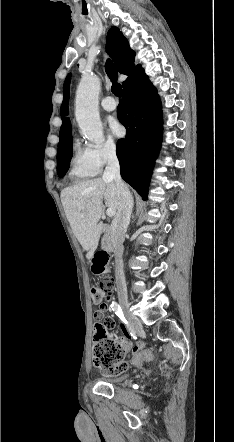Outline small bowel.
<instances>
[{
    "instance_id": "obj_1",
    "label": "small bowel",
    "mask_w": 234,
    "mask_h": 442,
    "mask_svg": "<svg viewBox=\"0 0 234 442\" xmlns=\"http://www.w3.org/2000/svg\"><path fill=\"white\" fill-rule=\"evenodd\" d=\"M109 310V306L106 304L104 306H100L99 310H97L94 314L96 322L93 324L94 331H114L117 327L122 328L125 325L124 320H117L116 315L114 314H104ZM127 336V334H126ZM123 348L124 353L131 352L135 349L143 348L144 343L142 341H138L136 343H131L125 337L120 338L118 340Z\"/></svg>"
}]
</instances>
